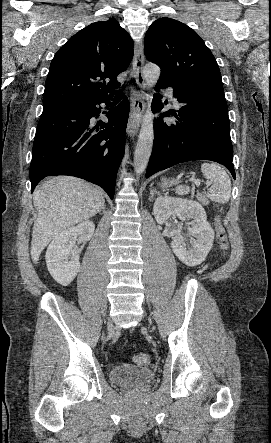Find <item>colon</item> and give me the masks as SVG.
<instances>
[{
  "label": "colon",
  "instance_id": "obj_1",
  "mask_svg": "<svg viewBox=\"0 0 271 443\" xmlns=\"http://www.w3.org/2000/svg\"><path fill=\"white\" fill-rule=\"evenodd\" d=\"M215 230L218 244L222 251H227L229 248V239L220 217L215 221ZM134 362L138 365H148L150 357L146 353H138L134 356Z\"/></svg>",
  "mask_w": 271,
  "mask_h": 443
}]
</instances>
